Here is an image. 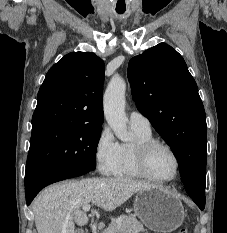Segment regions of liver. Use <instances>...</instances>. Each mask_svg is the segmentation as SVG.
<instances>
[{"label": "liver", "mask_w": 227, "mask_h": 233, "mask_svg": "<svg viewBox=\"0 0 227 233\" xmlns=\"http://www.w3.org/2000/svg\"><path fill=\"white\" fill-rule=\"evenodd\" d=\"M154 184L130 178H88L54 184L33 201L32 210L38 233H75V223L82 226L88 217L81 210L93 202L112 211L140 190Z\"/></svg>", "instance_id": "obj_1"}]
</instances>
